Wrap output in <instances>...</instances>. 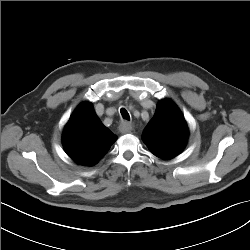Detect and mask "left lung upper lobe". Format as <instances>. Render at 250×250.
Here are the masks:
<instances>
[{"mask_svg":"<svg viewBox=\"0 0 250 250\" xmlns=\"http://www.w3.org/2000/svg\"><path fill=\"white\" fill-rule=\"evenodd\" d=\"M186 121L169 99L161 100L152 120L142 134V140L149 150L159 158L171 159L186 146L188 137Z\"/></svg>","mask_w":250,"mask_h":250,"instance_id":"5c2ea615","label":"left lung upper lobe"}]
</instances>
